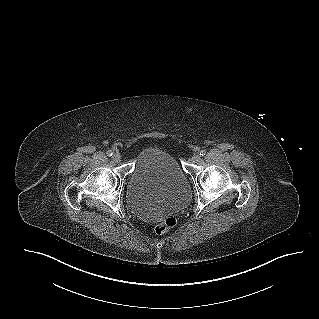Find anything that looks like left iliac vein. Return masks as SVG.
<instances>
[{
	"label": "left iliac vein",
	"mask_w": 319,
	"mask_h": 319,
	"mask_svg": "<svg viewBox=\"0 0 319 319\" xmlns=\"http://www.w3.org/2000/svg\"><path fill=\"white\" fill-rule=\"evenodd\" d=\"M200 159H201V157H200L199 154H194V155L192 156V158H191V161H192L193 163H196V162H199Z\"/></svg>",
	"instance_id": "left-iliac-vein-1"
}]
</instances>
